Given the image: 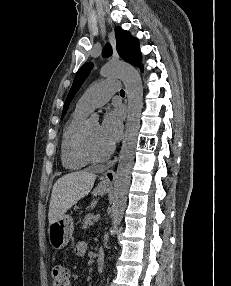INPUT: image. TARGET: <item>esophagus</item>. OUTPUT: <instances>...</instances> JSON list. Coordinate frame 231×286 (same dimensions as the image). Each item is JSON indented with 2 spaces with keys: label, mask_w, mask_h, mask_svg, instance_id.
I'll list each match as a JSON object with an SVG mask.
<instances>
[{
  "label": "esophagus",
  "mask_w": 231,
  "mask_h": 286,
  "mask_svg": "<svg viewBox=\"0 0 231 286\" xmlns=\"http://www.w3.org/2000/svg\"><path fill=\"white\" fill-rule=\"evenodd\" d=\"M114 180H115V172L114 169L112 168L105 172L102 184L110 186L113 184Z\"/></svg>",
  "instance_id": "34e87169"
}]
</instances>
